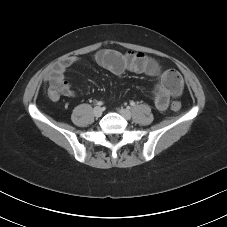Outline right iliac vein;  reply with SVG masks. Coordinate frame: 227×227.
Masks as SVG:
<instances>
[{"label":"right iliac vein","mask_w":227,"mask_h":227,"mask_svg":"<svg viewBox=\"0 0 227 227\" xmlns=\"http://www.w3.org/2000/svg\"><path fill=\"white\" fill-rule=\"evenodd\" d=\"M102 108L101 107H95L94 109H93V114H94V116L95 117H100L101 115H102Z\"/></svg>","instance_id":"obj_1"}]
</instances>
